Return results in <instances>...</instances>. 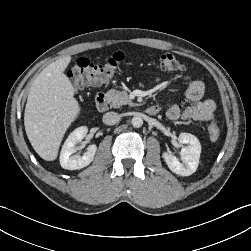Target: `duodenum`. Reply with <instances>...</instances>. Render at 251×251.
<instances>
[{
	"label": "duodenum",
	"mask_w": 251,
	"mask_h": 251,
	"mask_svg": "<svg viewBox=\"0 0 251 251\" xmlns=\"http://www.w3.org/2000/svg\"><path fill=\"white\" fill-rule=\"evenodd\" d=\"M96 106L99 111H106L109 105L108 97L105 93L99 92L96 95ZM146 112L149 115H156L160 112V107L158 105H151L147 107Z\"/></svg>",
	"instance_id": "1"
}]
</instances>
